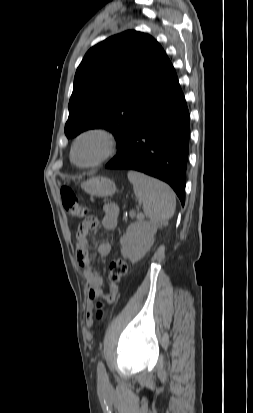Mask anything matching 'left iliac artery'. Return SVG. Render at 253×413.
Masks as SVG:
<instances>
[{
	"instance_id": "1",
	"label": "left iliac artery",
	"mask_w": 253,
	"mask_h": 413,
	"mask_svg": "<svg viewBox=\"0 0 253 413\" xmlns=\"http://www.w3.org/2000/svg\"><path fill=\"white\" fill-rule=\"evenodd\" d=\"M98 377L105 380L107 378L106 369L102 361H99L97 366Z\"/></svg>"
}]
</instances>
